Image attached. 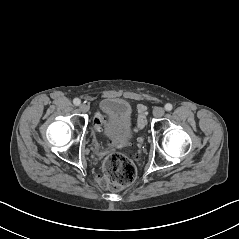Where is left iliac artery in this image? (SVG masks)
Instances as JSON below:
<instances>
[{"label": "left iliac artery", "mask_w": 239, "mask_h": 239, "mask_svg": "<svg viewBox=\"0 0 239 239\" xmlns=\"http://www.w3.org/2000/svg\"><path fill=\"white\" fill-rule=\"evenodd\" d=\"M172 108H173V106H172V104H170V103H167V104L165 105V110H166V111H171Z\"/></svg>", "instance_id": "44dca946"}]
</instances>
